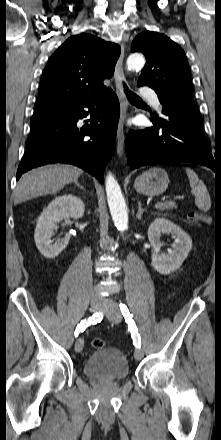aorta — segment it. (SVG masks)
<instances>
[{
  "mask_svg": "<svg viewBox=\"0 0 221 440\" xmlns=\"http://www.w3.org/2000/svg\"><path fill=\"white\" fill-rule=\"evenodd\" d=\"M144 64L145 59L139 53L131 54L126 62L128 70L142 68ZM106 193L114 224L119 230H126L128 228V214L125 200L118 182L111 173L106 177Z\"/></svg>",
  "mask_w": 221,
  "mask_h": 440,
  "instance_id": "obj_1",
  "label": "aorta"
}]
</instances>
